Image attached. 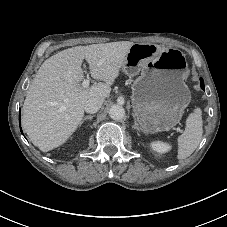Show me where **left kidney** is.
<instances>
[{"instance_id":"obj_1","label":"left kidney","mask_w":227,"mask_h":227,"mask_svg":"<svg viewBox=\"0 0 227 227\" xmlns=\"http://www.w3.org/2000/svg\"><path fill=\"white\" fill-rule=\"evenodd\" d=\"M151 148L158 153H165L171 149V146L167 143L158 141V142H152Z\"/></svg>"}]
</instances>
